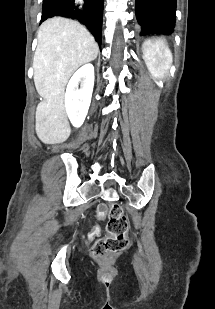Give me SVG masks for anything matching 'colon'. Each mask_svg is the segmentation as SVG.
Instances as JSON below:
<instances>
[{"label":"colon","instance_id":"1","mask_svg":"<svg viewBox=\"0 0 215 309\" xmlns=\"http://www.w3.org/2000/svg\"><path fill=\"white\" fill-rule=\"evenodd\" d=\"M127 220L120 208L112 207L109 210V220L106 225L108 237L98 240L93 248L92 254L105 260L113 254L121 253L128 248V239L125 237Z\"/></svg>","mask_w":215,"mask_h":309}]
</instances>
